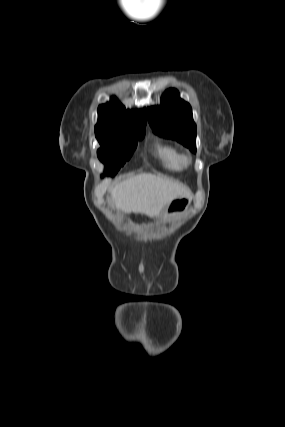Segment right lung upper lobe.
<instances>
[{
	"mask_svg": "<svg viewBox=\"0 0 285 427\" xmlns=\"http://www.w3.org/2000/svg\"><path fill=\"white\" fill-rule=\"evenodd\" d=\"M146 117V110L138 113L126 111L125 107L113 97L110 103L98 107L95 131L144 128Z\"/></svg>",
	"mask_w": 285,
	"mask_h": 427,
	"instance_id": "obj_1",
	"label": "right lung upper lobe"
}]
</instances>
